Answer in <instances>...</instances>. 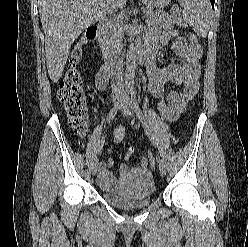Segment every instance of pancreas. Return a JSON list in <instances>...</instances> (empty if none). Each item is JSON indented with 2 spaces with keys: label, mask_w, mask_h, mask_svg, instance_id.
<instances>
[{
  "label": "pancreas",
  "mask_w": 248,
  "mask_h": 247,
  "mask_svg": "<svg viewBox=\"0 0 248 247\" xmlns=\"http://www.w3.org/2000/svg\"><path fill=\"white\" fill-rule=\"evenodd\" d=\"M146 23L157 29L172 28L174 24L185 27L183 21L177 16L168 17L162 11L147 10L145 13ZM126 31V22L122 19L117 25L111 27L107 33L105 46L108 53H113L117 47L120 46L121 40Z\"/></svg>",
  "instance_id": "obj_1"
}]
</instances>
